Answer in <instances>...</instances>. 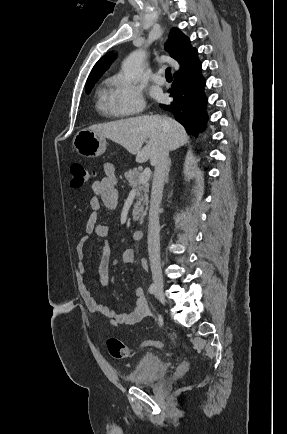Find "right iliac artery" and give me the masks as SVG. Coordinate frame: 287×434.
<instances>
[{
  "label": "right iliac artery",
  "instance_id": "1",
  "mask_svg": "<svg viewBox=\"0 0 287 434\" xmlns=\"http://www.w3.org/2000/svg\"><path fill=\"white\" fill-rule=\"evenodd\" d=\"M155 284H151L150 286H149V293L150 294H154L155 293Z\"/></svg>",
  "mask_w": 287,
  "mask_h": 434
}]
</instances>
